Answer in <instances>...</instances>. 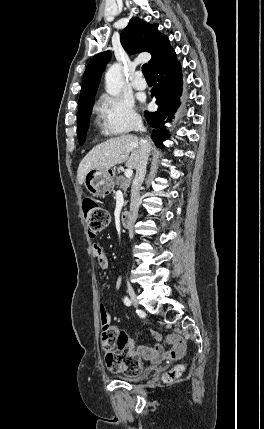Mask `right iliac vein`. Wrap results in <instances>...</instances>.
Segmentation results:
<instances>
[{
  "instance_id": "obj_1",
  "label": "right iliac vein",
  "mask_w": 264,
  "mask_h": 429,
  "mask_svg": "<svg viewBox=\"0 0 264 429\" xmlns=\"http://www.w3.org/2000/svg\"><path fill=\"white\" fill-rule=\"evenodd\" d=\"M127 291H128V294L130 296L131 301L135 305H137L138 304V300H137V297H136V293H135L133 287L131 286V284L129 282H127ZM135 308L138 310L140 307L137 305Z\"/></svg>"
}]
</instances>
